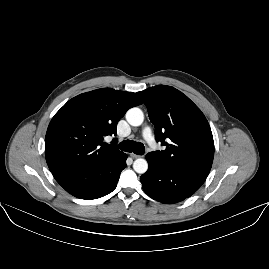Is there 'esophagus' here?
I'll list each match as a JSON object with an SVG mask.
<instances>
[{
	"label": "esophagus",
	"mask_w": 269,
	"mask_h": 269,
	"mask_svg": "<svg viewBox=\"0 0 269 269\" xmlns=\"http://www.w3.org/2000/svg\"><path fill=\"white\" fill-rule=\"evenodd\" d=\"M130 156H131V158H139V157H141L140 155H137V154H134V153H131Z\"/></svg>",
	"instance_id": "34e87169"
}]
</instances>
